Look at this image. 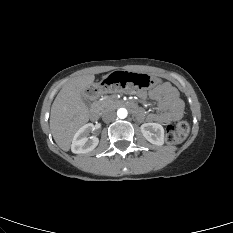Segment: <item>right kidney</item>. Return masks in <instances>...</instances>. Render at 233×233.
Segmentation results:
<instances>
[{
  "mask_svg": "<svg viewBox=\"0 0 233 233\" xmlns=\"http://www.w3.org/2000/svg\"><path fill=\"white\" fill-rule=\"evenodd\" d=\"M94 130V125L88 123L82 126L74 135L71 144V151L76 154L88 153L96 148L99 139L95 136L89 137V133Z\"/></svg>",
  "mask_w": 233,
  "mask_h": 233,
  "instance_id": "ca27d5eb",
  "label": "right kidney"
}]
</instances>
